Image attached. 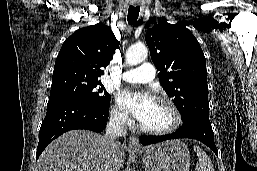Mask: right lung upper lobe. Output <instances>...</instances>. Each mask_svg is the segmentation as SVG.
Here are the masks:
<instances>
[{
	"instance_id": "cb5924a9",
	"label": "right lung upper lobe",
	"mask_w": 257,
	"mask_h": 171,
	"mask_svg": "<svg viewBox=\"0 0 257 171\" xmlns=\"http://www.w3.org/2000/svg\"><path fill=\"white\" fill-rule=\"evenodd\" d=\"M119 42L110 27L98 23L81 28L68 37L57 56L51 89L72 83L100 82Z\"/></svg>"
}]
</instances>
